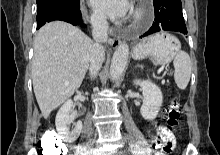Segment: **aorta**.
Wrapping results in <instances>:
<instances>
[{
	"mask_svg": "<svg viewBox=\"0 0 220 155\" xmlns=\"http://www.w3.org/2000/svg\"><path fill=\"white\" fill-rule=\"evenodd\" d=\"M128 55L129 47L126 43L120 44L115 50L110 66V77L112 80H117L124 72Z\"/></svg>",
	"mask_w": 220,
	"mask_h": 155,
	"instance_id": "aorta-1",
	"label": "aorta"
}]
</instances>
